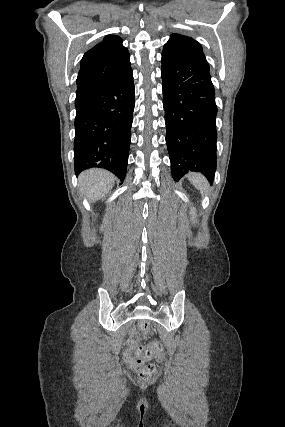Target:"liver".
I'll return each instance as SVG.
<instances>
[{
  "instance_id": "liver-1",
  "label": "liver",
  "mask_w": 285,
  "mask_h": 427,
  "mask_svg": "<svg viewBox=\"0 0 285 427\" xmlns=\"http://www.w3.org/2000/svg\"><path fill=\"white\" fill-rule=\"evenodd\" d=\"M81 192L90 202H96L107 195L114 186L115 177L103 169H89L79 175Z\"/></svg>"
}]
</instances>
